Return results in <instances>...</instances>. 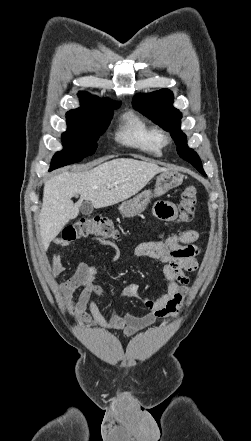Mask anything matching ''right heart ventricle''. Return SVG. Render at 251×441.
<instances>
[{"label":"right heart ventricle","instance_id":"1","mask_svg":"<svg viewBox=\"0 0 251 441\" xmlns=\"http://www.w3.org/2000/svg\"><path fill=\"white\" fill-rule=\"evenodd\" d=\"M116 140L152 156H160L163 149L162 133L158 127L135 111H128L121 117L115 133Z\"/></svg>","mask_w":251,"mask_h":441}]
</instances>
